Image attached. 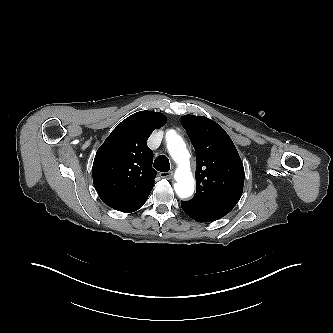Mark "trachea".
<instances>
[{
	"label": "trachea",
	"instance_id": "obj_1",
	"mask_svg": "<svg viewBox=\"0 0 333 333\" xmlns=\"http://www.w3.org/2000/svg\"><path fill=\"white\" fill-rule=\"evenodd\" d=\"M153 166L160 172H168L170 170V163L165 155H159L155 159Z\"/></svg>",
	"mask_w": 333,
	"mask_h": 333
}]
</instances>
